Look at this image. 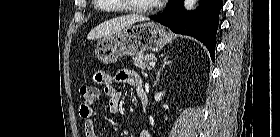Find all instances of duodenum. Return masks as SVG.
Instances as JSON below:
<instances>
[{
  "mask_svg": "<svg viewBox=\"0 0 280 137\" xmlns=\"http://www.w3.org/2000/svg\"><path fill=\"white\" fill-rule=\"evenodd\" d=\"M141 98H142L143 104H147L148 99H147V96H146V94L144 92L141 94Z\"/></svg>",
  "mask_w": 280,
  "mask_h": 137,
  "instance_id": "obj_1",
  "label": "duodenum"
}]
</instances>
